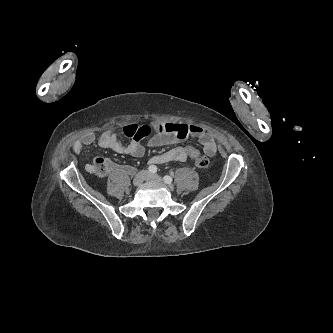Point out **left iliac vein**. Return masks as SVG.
Masks as SVG:
<instances>
[{
    "mask_svg": "<svg viewBox=\"0 0 333 333\" xmlns=\"http://www.w3.org/2000/svg\"><path fill=\"white\" fill-rule=\"evenodd\" d=\"M146 181L160 183V182H162V178L157 174L148 173L147 177H146Z\"/></svg>",
    "mask_w": 333,
    "mask_h": 333,
    "instance_id": "left-iliac-vein-1",
    "label": "left iliac vein"
}]
</instances>
